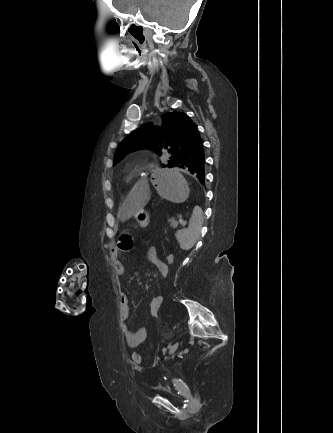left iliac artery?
Returning a JSON list of instances; mask_svg holds the SVG:
<instances>
[{
    "mask_svg": "<svg viewBox=\"0 0 333 433\" xmlns=\"http://www.w3.org/2000/svg\"><path fill=\"white\" fill-rule=\"evenodd\" d=\"M171 347H172V345L168 344V346L165 349H170ZM165 349H164V351H165Z\"/></svg>",
    "mask_w": 333,
    "mask_h": 433,
    "instance_id": "1",
    "label": "left iliac artery"
}]
</instances>
